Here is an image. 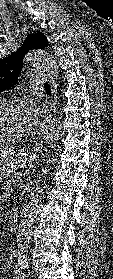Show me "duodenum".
<instances>
[{
    "mask_svg": "<svg viewBox=\"0 0 113 279\" xmlns=\"http://www.w3.org/2000/svg\"><path fill=\"white\" fill-rule=\"evenodd\" d=\"M20 214L17 209H13L9 213V225L12 231H16L19 226Z\"/></svg>",
    "mask_w": 113,
    "mask_h": 279,
    "instance_id": "1",
    "label": "duodenum"
}]
</instances>
